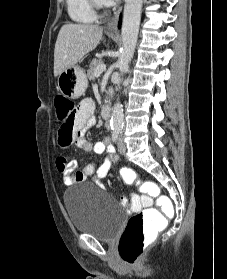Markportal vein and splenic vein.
Listing matches in <instances>:
<instances>
[{
  "mask_svg": "<svg viewBox=\"0 0 227 279\" xmlns=\"http://www.w3.org/2000/svg\"><path fill=\"white\" fill-rule=\"evenodd\" d=\"M106 65L102 64L95 71V77H99L103 71H105Z\"/></svg>",
  "mask_w": 227,
  "mask_h": 279,
  "instance_id": "18ae733b",
  "label": "portal vein and splenic vein"
}]
</instances>
